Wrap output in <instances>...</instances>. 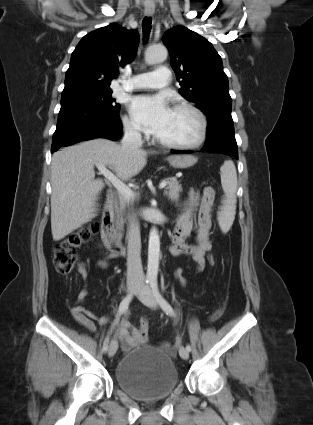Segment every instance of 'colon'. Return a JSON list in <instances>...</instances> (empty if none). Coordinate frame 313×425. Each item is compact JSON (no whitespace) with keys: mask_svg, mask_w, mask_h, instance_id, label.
<instances>
[{"mask_svg":"<svg viewBox=\"0 0 313 425\" xmlns=\"http://www.w3.org/2000/svg\"><path fill=\"white\" fill-rule=\"evenodd\" d=\"M97 224H90L83 227L64 239H62L57 246L53 249V262L58 273L67 275L69 274L76 262L78 250L87 243L96 233ZM215 256L209 255L208 262L210 265L215 264ZM188 277L183 269H177L175 272V283L178 288H184L188 285ZM223 312V308L218 309L212 316V320L218 319ZM149 325L147 320H143L138 331L139 339L141 342H146L148 339Z\"/></svg>","mask_w":313,"mask_h":425,"instance_id":"colon-1","label":"colon"}]
</instances>
